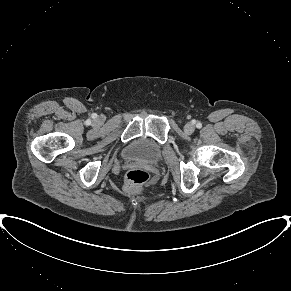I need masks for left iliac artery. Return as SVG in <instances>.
Returning a JSON list of instances; mask_svg holds the SVG:
<instances>
[{"label":"left iliac artery","instance_id":"left-iliac-artery-1","mask_svg":"<svg viewBox=\"0 0 291 291\" xmlns=\"http://www.w3.org/2000/svg\"><path fill=\"white\" fill-rule=\"evenodd\" d=\"M201 126H202V124H201L200 122H198V123L196 124V127H197V128H201Z\"/></svg>","mask_w":291,"mask_h":291}]
</instances>
